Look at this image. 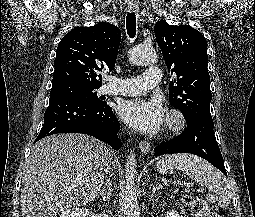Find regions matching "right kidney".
Returning a JSON list of instances; mask_svg holds the SVG:
<instances>
[{
    "label": "right kidney",
    "instance_id": "right-kidney-1",
    "mask_svg": "<svg viewBox=\"0 0 255 217\" xmlns=\"http://www.w3.org/2000/svg\"><path fill=\"white\" fill-rule=\"evenodd\" d=\"M89 211L86 208H73L62 212L60 217H88Z\"/></svg>",
    "mask_w": 255,
    "mask_h": 217
}]
</instances>
